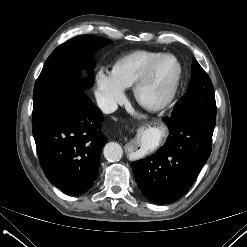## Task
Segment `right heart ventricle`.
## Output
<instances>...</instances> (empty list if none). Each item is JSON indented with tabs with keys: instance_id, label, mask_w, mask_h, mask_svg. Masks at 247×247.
Here are the masks:
<instances>
[{
	"instance_id": "1",
	"label": "right heart ventricle",
	"mask_w": 247,
	"mask_h": 247,
	"mask_svg": "<svg viewBox=\"0 0 247 247\" xmlns=\"http://www.w3.org/2000/svg\"><path fill=\"white\" fill-rule=\"evenodd\" d=\"M160 55V52L147 50L128 53L113 64L111 74L123 88L131 87L145 68Z\"/></svg>"
}]
</instances>
